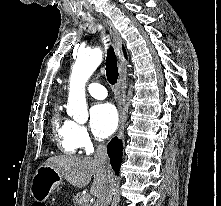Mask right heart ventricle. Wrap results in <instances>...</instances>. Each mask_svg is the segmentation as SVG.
Here are the masks:
<instances>
[{
    "label": "right heart ventricle",
    "instance_id": "1",
    "mask_svg": "<svg viewBox=\"0 0 221 206\" xmlns=\"http://www.w3.org/2000/svg\"><path fill=\"white\" fill-rule=\"evenodd\" d=\"M53 139L58 148L67 154H74L79 148L76 139V123L62 113L59 102H55L51 116Z\"/></svg>",
    "mask_w": 221,
    "mask_h": 206
}]
</instances>
